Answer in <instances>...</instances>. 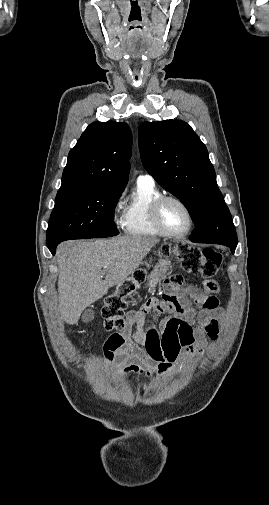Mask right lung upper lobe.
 <instances>
[{"mask_svg": "<svg viewBox=\"0 0 269 505\" xmlns=\"http://www.w3.org/2000/svg\"><path fill=\"white\" fill-rule=\"evenodd\" d=\"M131 147L132 134L126 123H91L69 152L61 188L124 190L128 181Z\"/></svg>", "mask_w": 269, "mask_h": 505, "instance_id": "obj_1", "label": "right lung upper lobe"}]
</instances>
